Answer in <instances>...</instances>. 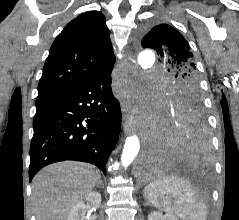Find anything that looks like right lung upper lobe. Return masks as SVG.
I'll list each match as a JSON object with an SVG mask.
<instances>
[{
    "label": "right lung upper lobe",
    "mask_w": 239,
    "mask_h": 220,
    "mask_svg": "<svg viewBox=\"0 0 239 220\" xmlns=\"http://www.w3.org/2000/svg\"><path fill=\"white\" fill-rule=\"evenodd\" d=\"M115 56L102 12L69 22L54 40L38 85V96L82 85L113 68Z\"/></svg>",
    "instance_id": "cb5924a9"
}]
</instances>
